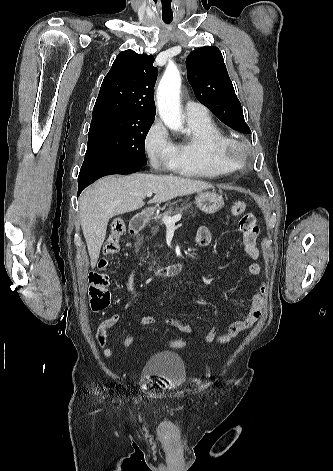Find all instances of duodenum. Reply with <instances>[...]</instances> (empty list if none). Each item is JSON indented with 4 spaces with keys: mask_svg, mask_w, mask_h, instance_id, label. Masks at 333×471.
<instances>
[{
    "mask_svg": "<svg viewBox=\"0 0 333 471\" xmlns=\"http://www.w3.org/2000/svg\"><path fill=\"white\" fill-rule=\"evenodd\" d=\"M148 215L146 212H142L134 216L129 223V234L133 238L135 237L146 225ZM184 269V265L181 262H176L170 265L160 267L155 270V274L161 277H172L180 274Z\"/></svg>",
    "mask_w": 333,
    "mask_h": 471,
    "instance_id": "duodenum-1",
    "label": "duodenum"
}]
</instances>
